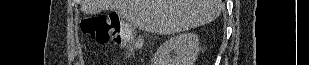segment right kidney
I'll use <instances>...</instances> for the list:
<instances>
[{
	"mask_svg": "<svg viewBox=\"0 0 309 65\" xmlns=\"http://www.w3.org/2000/svg\"><path fill=\"white\" fill-rule=\"evenodd\" d=\"M199 40L195 33L186 32L166 40L155 53L153 65H194ZM174 53V57H171Z\"/></svg>",
	"mask_w": 309,
	"mask_h": 65,
	"instance_id": "ca27d5eb",
	"label": "right kidney"
}]
</instances>
